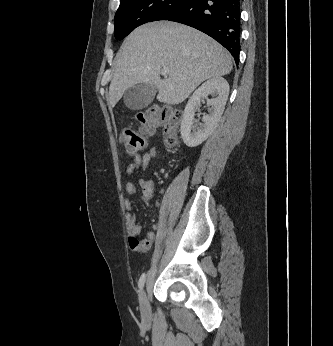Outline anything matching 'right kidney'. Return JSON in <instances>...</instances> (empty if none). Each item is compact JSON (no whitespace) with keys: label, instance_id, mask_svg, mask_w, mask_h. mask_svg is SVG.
Wrapping results in <instances>:
<instances>
[{"label":"right kidney","instance_id":"obj_1","mask_svg":"<svg viewBox=\"0 0 333 346\" xmlns=\"http://www.w3.org/2000/svg\"><path fill=\"white\" fill-rule=\"evenodd\" d=\"M212 95V99H208L207 105L209 114L203 116V124L196 128L193 126L195 112L199 109L201 102ZM229 96V84L222 77H213L203 83L189 98L185 107L181 122V138L188 147H196L204 142L212 133L218 124L227 99Z\"/></svg>","mask_w":333,"mask_h":346}]
</instances>
